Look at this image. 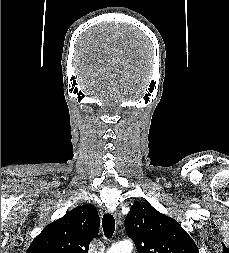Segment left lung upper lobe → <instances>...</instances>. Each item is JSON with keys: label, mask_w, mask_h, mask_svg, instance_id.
Here are the masks:
<instances>
[{"label": "left lung upper lobe", "mask_w": 229, "mask_h": 253, "mask_svg": "<svg viewBox=\"0 0 229 253\" xmlns=\"http://www.w3.org/2000/svg\"><path fill=\"white\" fill-rule=\"evenodd\" d=\"M138 253H199L181 225L149 202L134 203L124 221Z\"/></svg>", "instance_id": "5c2ea615"}]
</instances>
